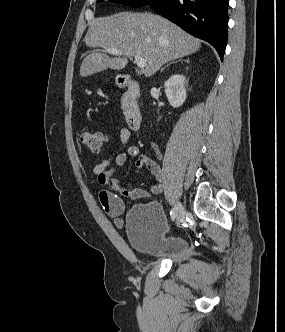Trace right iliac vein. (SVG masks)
<instances>
[{
	"instance_id": "obj_1",
	"label": "right iliac vein",
	"mask_w": 285,
	"mask_h": 332,
	"mask_svg": "<svg viewBox=\"0 0 285 332\" xmlns=\"http://www.w3.org/2000/svg\"><path fill=\"white\" fill-rule=\"evenodd\" d=\"M175 210H176V221L179 224L180 222L183 221V218H184V208H183L181 202L178 201L176 203Z\"/></svg>"
}]
</instances>
